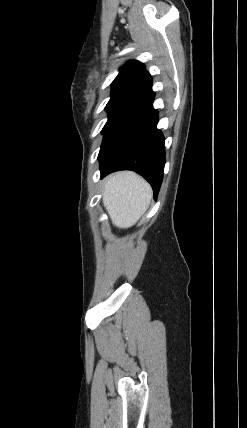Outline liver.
Listing matches in <instances>:
<instances>
[{"label":"liver","instance_id":"liver-1","mask_svg":"<svg viewBox=\"0 0 247 428\" xmlns=\"http://www.w3.org/2000/svg\"><path fill=\"white\" fill-rule=\"evenodd\" d=\"M151 198V186L134 172H116L104 181L103 204L116 227L125 229L135 225Z\"/></svg>","mask_w":247,"mask_h":428}]
</instances>
